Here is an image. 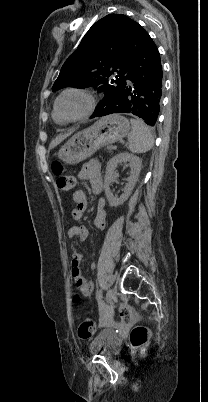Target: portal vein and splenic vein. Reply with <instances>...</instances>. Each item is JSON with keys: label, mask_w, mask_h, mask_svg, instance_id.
Returning <instances> with one entry per match:
<instances>
[{"label": "portal vein and splenic vein", "mask_w": 208, "mask_h": 402, "mask_svg": "<svg viewBox=\"0 0 208 402\" xmlns=\"http://www.w3.org/2000/svg\"><path fill=\"white\" fill-rule=\"evenodd\" d=\"M113 148H114V150H116V149L118 148V145H117V144H114V145H113Z\"/></svg>", "instance_id": "1"}]
</instances>
